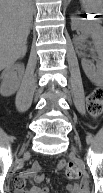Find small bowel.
I'll return each mask as SVG.
<instances>
[{"label": "small bowel", "instance_id": "1", "mask_svg": "<svg viewBox=\"0 0 103 193\" xmlns=\"http://www.w3.org/2000/svg\"><path fill=\"white\" fill-rule=\"evenodd\" d=\"M41 166L38 162H34L27 170L23 171L19 176L14 178V193H50L48 187H40L39 183L43 182L44 176L40 174ZM26 181L30 182V188L25 190ZM87 182L83 180L81 183H72L66 186V193H87Z\"/></svg>", "mask_w": 103, "mask_h": 193}]
</instances>
